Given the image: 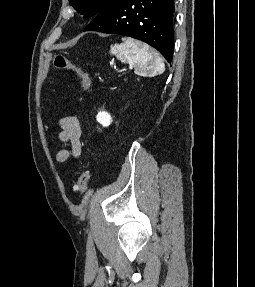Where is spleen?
I'll return each mask as SVG.
<instances>
[{
  "label": "spleen",
  "mask_w": 255,
  "mask_h": 287,
  "mask_svg": "<svg viewBox=\"0 0 255 287\" xmlns=\"http://www.w3.org/2000/svg\"><path fill=\"white\" fill-rule=\"evenodd\" d=\"M111 52H119L122 62L133 64L137 72H146L148 78L159 76L165 70V64L157 52L138 40H132V38L124 40L123 38V44L111 46Z\"/></svg>",
  "instance_id": "spleen-1"
}]
</instances>
